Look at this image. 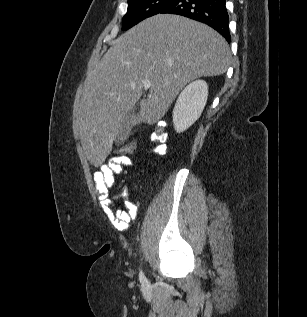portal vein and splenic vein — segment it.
I'll return each mask as SVG.
<instances>
[{
    "label": "portal vein and splenic vein",
    "mask_w": 307,
    "mask_h": 317,
    "mask_svg": "<svg viewBox=\"0 0 307 317\" xmlns=\"http://www.w3.org/2000/svg\"><path fill=\"white\" fill-rule=\"evenodd\" d=\"M144 88L145 89H149V88H151L152 87V84H151V82L150 81H144Z\"/></svg>",
    "instance_id": "1"
}]
</instances>
